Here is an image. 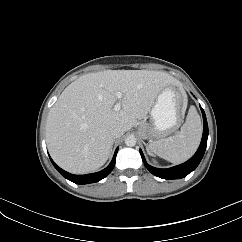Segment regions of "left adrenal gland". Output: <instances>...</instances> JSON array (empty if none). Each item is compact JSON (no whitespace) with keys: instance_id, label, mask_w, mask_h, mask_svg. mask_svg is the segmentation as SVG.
Instances as JSON below:
<instances>
[{"instance_id":"a2214340","label":"left adrenal gland","mask_w":242,"mask_h":242,"mask_svg":"<svg viewBox=\"0 0 242 242\" xmlns=\"http://www.w3.org/2000/svg\"><path fill=\"white\" fill-rule=\"evenodd\" d=\"M146 145V144H145ZM146 148H147V152L150 154V151H149V147L148 145H146Z\"/></svg>"}]
</instances>
